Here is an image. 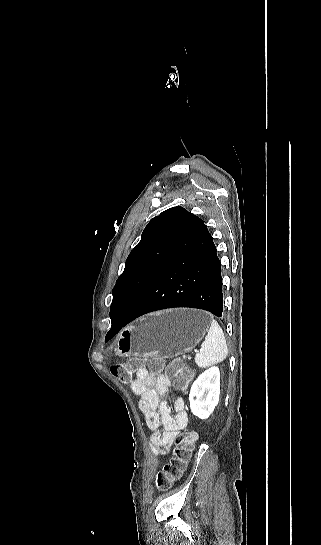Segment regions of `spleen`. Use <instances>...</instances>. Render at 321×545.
Returning a JSON list of instances; mask_svg holds the SVG:
<instances>
[{
	"label": "spleen",
	"instance_id": "3e777b00",
	"mask_svg": "<svg viewBox=\"0 0 321 545\" xmlns=\"http://www.w3.org/2000/svg\"><path fill=\"white\" fill-rule=\"evenodd\" d=\"M228 355V347L224 333L215 319L210 323V329L201 345L200 353L195 357V363L201 369H207L217 363H222Z\"/></svg>",
	"mask_w": 321,
	"mask_h": 545
}]
</instances>
